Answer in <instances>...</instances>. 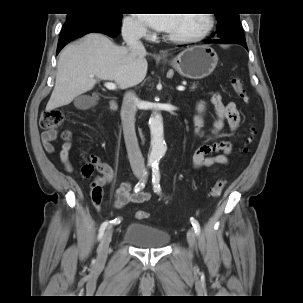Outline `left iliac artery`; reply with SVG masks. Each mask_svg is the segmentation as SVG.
<instances>
[{
	"mask_svg": "<svg viewBox=\"0 0 303 303\" xmlns=\"http://www.w3.org/2000/svg\"><path fill=\"white\" fill-rule=\"evenodd\" d=\"M152 184H153L154 192L159 194L161 192V188H160V172L158 165L153 167ZM190 221L195 230L196 235L198 236L200 234V225L198 221L195 218H191Z\"/></svg>",
	"mask_w": 303,
	"mask_h": 303,
	"instance_id": "left-iliac-artery-1",
	"label": "left iliac artery"
}]
</instances>
